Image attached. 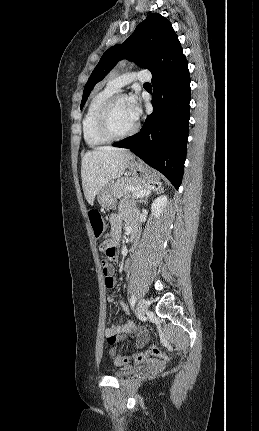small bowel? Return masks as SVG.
I'll return each instance as SVG.
<instances>
[{
    "label": "small bowel",
    "mask_w": 259,
    "mask_h": 431,
    "mask_svg": "<svg viewBox=\"0 0 259 431\" xmlns=\"http://www.w3.org/2000/svg\"><path fill=\"white\" fill-rule=\"evenodd\" d=\"M123 211H125V208H123ZM121 228H122V215L121 214H113L110 217V229L107 234V239L116 247L121 235ZM125 269L128 270L130 268V263L126 262ZM103 273L105 276V285L108 288H112L115 283V277L113 276V268L111 265L108 267H103ZM107 280V281H106ZM109 301L113 302L114 298L110 297ZM121 306L123 304L121 303ZM138 330L137 323L135 321H129L127 324L123 326H117L113 325L109 327L106 330V335L110 333H115L117 336L125 335V336H131L135 334ZM137 339L139 343H142L145 340V335L142 331H138L137 333Z\"/></svg>",
    "instance_id": "1"
}]
</instances>
